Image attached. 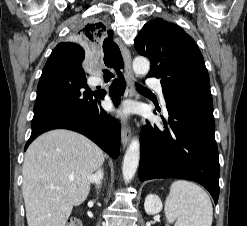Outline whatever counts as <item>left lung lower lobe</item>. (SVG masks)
Instances as JSON below:
<instances>
[{
  "mask_svg": "<svg viewBox=\"0 0 247 226\" xmlns=\"http://www.w3.org/2000/svg\"><path fill=\"white\" fill-rule=\"evenodd\" d=\"M168 121L141 131L139 179L183 178L219 197L218 148L210 84L180 83L164 93ZM160 112V109L157 110Z\"/></svg>",
  "mask_w": 247,
  "mask_h": 226,
  "instance_id": "obj_1",
  "label": "left lung lower lobe"
}]
</instances>
